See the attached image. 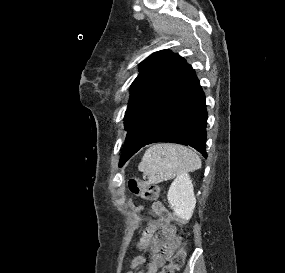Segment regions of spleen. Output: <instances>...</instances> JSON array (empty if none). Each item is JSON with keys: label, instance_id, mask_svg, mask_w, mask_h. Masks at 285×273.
Listing matches in <instances>:
<instances>
[{"label": "spleen", "instance_id": "3e777b00", "mask_svg": "<svg viewBox=\"0 0 285 273\" xmlns=\"http://www.w3.org/2000/svg\"><path fill=\"white\" fill-rule=\"evenodd\" d=\"M201 168L199 156L185 146L156 144L147 149L139 170L148 177V184L171 180Z\"/></svg>", "mask_w": 285, "mask_h": 273}]
</instances>
